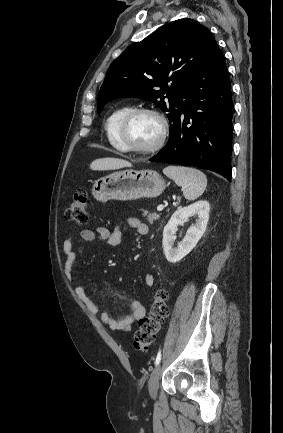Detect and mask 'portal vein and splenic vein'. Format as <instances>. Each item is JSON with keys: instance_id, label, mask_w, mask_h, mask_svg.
<instances>
[{"instance_id": "18ae733b", "label": "portal vein and splenic vein", "mask_w": 283, "mask_h": 433, "mask_svg": "<svg viewBox=\"0 0 283 433\" xmlns=\"http://www.w3.org/2000/svg\"><path fill=\"white\" fill-rule=\"evenodd\" d=\"M164 208V204H159V206H157V210H163Z\"/></svg>"}]
</instances>
